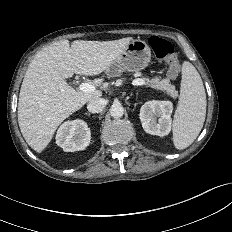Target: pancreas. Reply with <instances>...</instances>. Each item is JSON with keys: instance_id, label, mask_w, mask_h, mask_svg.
<instances>
[{"instance_id": "1", "label": "pancreas", "mask_w": 232, "mask_h": 232, "mask_svg": "<svg viewBox=\"0 0 232 232\" xmlns=\"http://www.w3.org/2000/svg\"><path fill=\"white\" fill-rule=\"evenodd\" d=\"M148 86L156 90L165 91L170 97L176 99L178 97V91H176L175 86L170 83L169 79H162L156 77L151 80L144 78Z\"/></svg>"}]
</instances>
